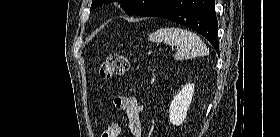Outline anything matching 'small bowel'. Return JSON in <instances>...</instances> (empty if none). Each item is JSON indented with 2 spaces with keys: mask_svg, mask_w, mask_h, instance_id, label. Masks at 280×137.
<instances>
[{
  "mask_svg": "<svg viewBox=\"0 0 280 137\" xmlns=\"http://www.w3.org/2000/svg\"><path fill=\"white\" fill-rule=\"evenodd\" d=\"M113 104L126 118L131 134L134 137H140L142 134V124L140 121V114L143 110L142 103L134 96H121L116 97ZM114 127L119 128L117 124H112L108 129Z\"/></svg>",
  "mask_w": 280,
  "mask_h": 137,
  "instance_id": "obj_1",
  "label": "small bowel"
}]
</instances>
